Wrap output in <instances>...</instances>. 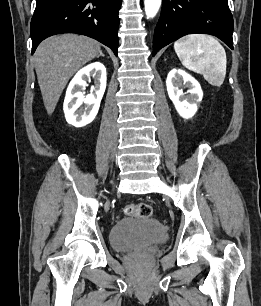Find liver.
Returning <instances> with one entry per match:
<instances>
[{"mask_svg": "<svg viewBox=\"0 0 261 306\" xmlns=\"http://www.w3.org/2000/svg\"><path fill=\"white\" fill-rule=\"evenodd\" d=\"M100 44L86 36L63 34L45 39L35 54V70L47 113L51 115L69 79L99 57Z\"/></svg>", "mask_w": 261, "mask_h": 306, "instance_id": "obj_1", "label": "liver"}]
</instances>
